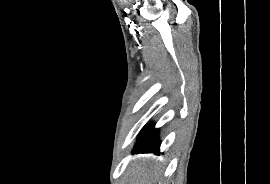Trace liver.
Instances as JSON below:
<instances>
[{
    "label": "liver",
    "mask_w": 270,
    "mask_h": 184,
    "mask_svg": "<svg viewBox=\"0 0 270 184\" xmlns=\"http://www.w3.org/2000/svg\"><path fill=\"white\" fill-rule=\"evenodd\" d=\"M128 175H132L133 184H152L161 180L162 172L158 166H150L143 160L141 164L132 166Z\"/></svg>",
    "instance_id": "1"
}]
</instances>
